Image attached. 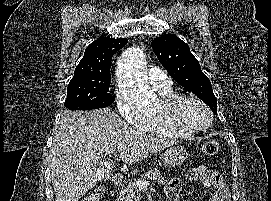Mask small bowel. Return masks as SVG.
<instances>
[{
  "label": "small bowel",
  "instance_id": "1",
  "mask_svg": "<svg viewBox=\"0 0 271 201\" xmlns=\"http://www.w3.org/2000/svg\"><path fill=\"white\" fill-rule=\"evenodd\" d=\"M185 178L190 182L199 180L206 189L210 190L211 194L208 201H230L227 186L217 171L200 166L190 169ZM180 183L179 178H172L164 188L165 193L174 192Z\"/></svg>",
  "mask_w": 271,
  "mask_h": 201
}]
</instances>
